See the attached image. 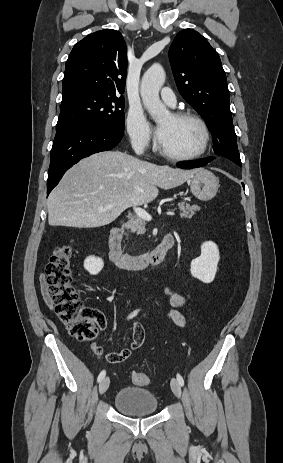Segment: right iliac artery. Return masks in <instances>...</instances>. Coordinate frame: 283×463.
<instances>
[{
    "label": "right iliac artery",
    "mask_w": 283,
    "mask_h": 463,
    "mask_svg": "<svg viewBox=\"0 0 283 463\" xmlns=\"http://www.w3.org/2000/svg\"><path fill=\"white\" fill-rule=\"evenodd\" d=\"M138 311H139V310H135L134 312H132V313L128 316V319L133 318L134 316H136L137 313H138ZM105 375H106V371H105V370L101 371L100 374H99V376H98V379H97L98 382H101V381L103 380V378L105 377Z\"/></svg>",
    "instance_id": "obj_1"
}]
</instances>
